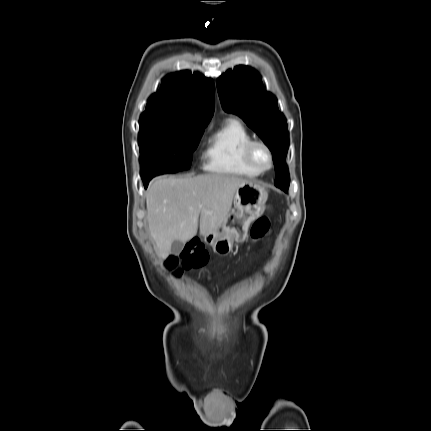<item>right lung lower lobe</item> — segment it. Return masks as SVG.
Returning a JSON list of instances; mask_svg holds the SVG:
<instances>
[{
	"mask_svg": "<svg viewBox=\"0 0 431 431\" xmlns=\"http://www.w3.org/2000/svg\"><path fill=\"white\" fill-rule=\"evenodd\" d=\"M153 177H148V178H142L143 180V184L144 187L146 188L148 186L149 181L152 179Z\"/></svg>",
	"mask_w": 431,
	"mask_h": 431,
	"instance_id": "98d812e1",
	"label": "right lung lower lobe"
}]
</instances>
